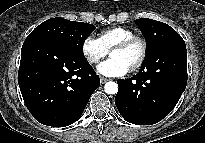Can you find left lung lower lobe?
Here are the masks:
<instances>
[{"mask_svg":"<svg viewBox=\"0 0 205 143\" xmlns=\"http://www.w3.org/2000/svg\"><path fill=\"white\" fill-rule=\"evenodd\" d=\"M154 55L155 62L135 76L118 80L115 105L128 122L152 125L165 118L178 103L187 84V51L181 36L165 42Z\"/></svg>","mask_w":205,"mask_h":143,"instance_id":"0a47b994","label":"left lung lower lobe"}]
</instances>
